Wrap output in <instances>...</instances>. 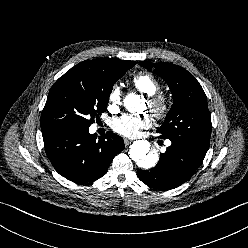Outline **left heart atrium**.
<instances>
[{"label":"left heart atrium","mask_w":248,"mask_h":248,"mask_svg":"<svg viewBox=\"0 0 248 248\" xmlns=\"http://www.w3.org/2000/svg\"><path fill=\"white\" fill-rule=\"evenodd\" d=\"M150 119L148 116L124 115L113 122V129L117 133L126 137H136L141 129L149 127Z\"/></svg>","instance_id":"obj_1"}]
</instances>
